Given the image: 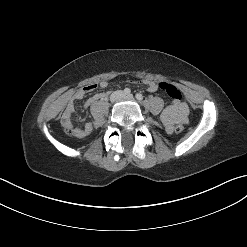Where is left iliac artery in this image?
<instances>
[{
  "instance_id": "1",
  "label": "left iliac artery",
  "mask_w": 247,
  "mask_h": 247,
  "mask_svg": "<svg viewBox=\"0 0 247 247\" xmlns=\"http://www.w3.org/2000/svg\"><path fill=\"white\" fill-rule=\"evenodd\" d=\"M135 97H136V99L139 100V101L143 100V96H142V94H140V93H137V94L135 95Z\"/></svg>"
}]
</instances>
